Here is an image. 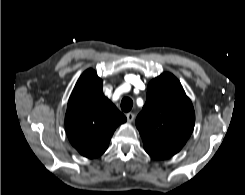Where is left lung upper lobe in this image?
Segmentation results:
<instances>
[{"label":"left lung upper lobe","instance_id":"left-lung-upper-lobe-1","mask_svg":"<svg viewBox=\"0 0 245 195\" xmlns=\"http://www.w3.org/2000/svg\"><path fill=\"white\" fill-rule=\"evenodd\" d=\"M195 113L179 80L170 73L153 79L147 87V100L137 116L136 126L144 147L172 156L190 137Z\"/></svg>","mask_w":245,"mask_h":195}]
</instances>
